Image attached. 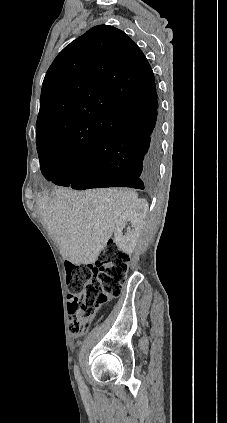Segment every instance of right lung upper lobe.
<instances>
[{
  "instance_id": "cb5924a9",
  "label": "right lung upper lobe",
  "mask_w": 227,
  "mask_h": 423,
  "mask_svg": "<svg viewBox=\"0 0 227 423\" xmlns=\"http://www.w3.org/2000/svg\"><path fill=\"white\" fill-rule=\"evenodd\" d=\"M152 69L136 43L109 25L91 28L65 47L48 69L41 91L36 141L56 140L89 149L128 122L106 110L148 99L155 91Z\"/></svg>"
}]
</instances>
